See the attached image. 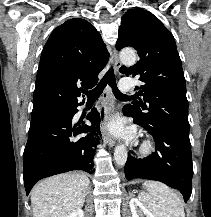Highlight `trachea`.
I'll return each instance as SVG.
<instances>
[{
    "instance_id": "trachea-1",
    "label": "trachea",
    "mask_w": 211,
    "mask_h": 217,
    "mask_svg": "<svg viewBox=\"0 0 211 217\" xmlns=\"http://www.w3.org/2000/svg\"><path fill=\"white\" fill-rule=\"evenodd\" d=\"M107 84H109L111 86L112 91L117 98H126L127 97L126 95L122 94L119 91V89L116 85V79H115L114 71H113V68L111 67L106 72V74L104 75L102 80L99 82V84L93 90L85 92L87 97H88V102H95L98 99V97L101 95V93L103 92V90Z\"/></svg>"
}]
</instances>
